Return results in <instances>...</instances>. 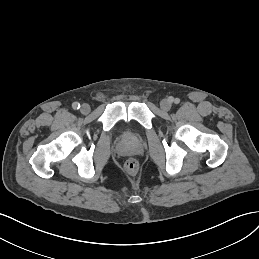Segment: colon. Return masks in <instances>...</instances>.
Masks as SVG:
<instances>
[{"mask_svg": "<svg viewBox=\"0 0 259 259\" xmlns=\"http://www.w3.org/2000/svg\"><path fill=\"white\" fill-rule=\"evenodd\" d=\"M139 163L136 159L130 158L125 162V169L130 174H135L138 171Z\"/></svg>", "mask_w": 259, "mask_h": 259, "instance_id": "1", "label": "colon"}]
</instances>
